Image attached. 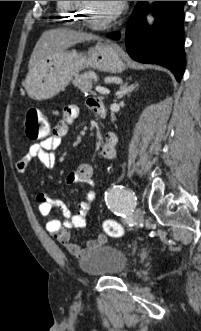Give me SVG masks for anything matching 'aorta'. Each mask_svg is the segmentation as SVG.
Wrapping results in <instances>:
<instances>
[{"mask_svg": "<svg viewBox=\"0 0 201 331\" xmlns=\"http://www.w3.org/2000/svg\"><path fill=\"white\" fill-rule=\"evenodd\" d=\"M153 2H154V1H148V4L151 6V5L153 4ZM146 18H147V22H148V24H149V25H152V23L154 22V17H153V15H152V13L149 12V13L147 14V17H146Z\"/></svg>", "mask_w": 201, "mask_h": 331, "instance_id": "aorta-1", "label": "aorta"}]
</instances>
